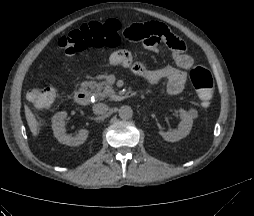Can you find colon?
<instances>
[{
  "mask_svg": "<svg viewBox=\"0 0 254 216\" xmlns=\"http://www.w3.org/2000/svg\"><path fill=\"white\" fill-rule=\"evenodd\" d=\"M121 33V26L116 20L104 23L93 22L64 35L58 41V46L64 54L71 56L86 48L116 47L125 38ZM190 81L197 91L202 104L208 107L211 102L214 81L211 72L201 65H193L190 69ZM29 101L37 109H46L52 105L56 98L53 87L34 88L27 94Z\"/></svg>",
  "mask_w": 254,
  "mask_h": 216,
  "instance_id": "1",
  "label": "colon"
}]
</instances>
